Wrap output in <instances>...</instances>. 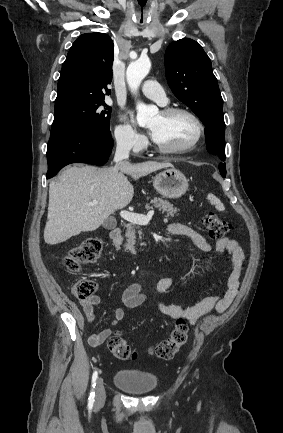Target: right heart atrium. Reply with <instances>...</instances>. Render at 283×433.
Masks as SVG:
<instances>
[{"instance_id":"1","label":"right heart atrium","mask_w":283,"mask_h":433,"mask_svg":"<svg viewBox=\"0 0 283 433\" xmlns=\"http://www.w3.org/2000/svg\"><path fill=\"white\" fill-rule=\"evenodd\" d=\"M113 141L118 149L139 152L145 145V138L138 134L131 119L126 114H118L113 127Z\"/></svg>"}]
</instances>
